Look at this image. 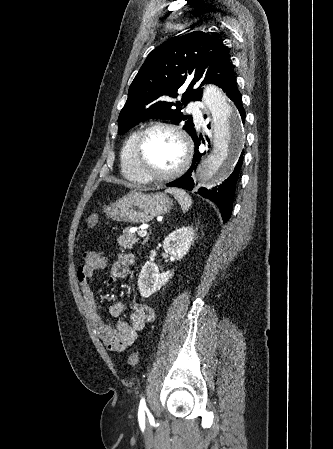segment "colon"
Listing matches in <instances>:
<instances>
[{
    "label": "colon",
    "mask_w": 333,
    "mask_h": 449,
    "mask_svg": "<svg viewBox=\"0 0 333 449\" xmlns=\"http://www.w3.org/2000/svg\"><path fill=\"white\" fill-rule=\"evenodd\" d=\"M98 221H99V216L97 214H92L87 219V226L89 228H93L97 225ZM138 360H139V354L137 352H133L128 356L127 362H128L129 366L134 367L137 365Z\"/></svg>",
    "instance_id": "5ec220e1"
}]
</instances>
